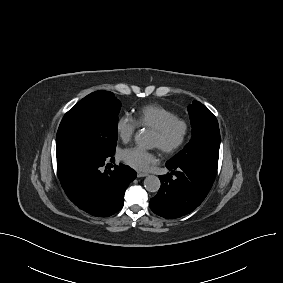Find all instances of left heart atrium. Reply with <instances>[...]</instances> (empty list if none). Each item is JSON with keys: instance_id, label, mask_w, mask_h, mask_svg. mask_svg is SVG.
<instances>
[{"instance_id": "obj_1", "label": "left heart atrium", "mask_w": 283, "mask_h": 283, "mask_svg": "<svg viewBox=\"0 0 283 283\" xmlns=\"http://www.w3.org/2000/svg\"><path fill=\"white\" fill-rule=\"evenodd\" d=\"M123 161L138 170H147L157 160L154 152L139 146L126 148L122 152Z\"/></svg>"}]
</instances>
